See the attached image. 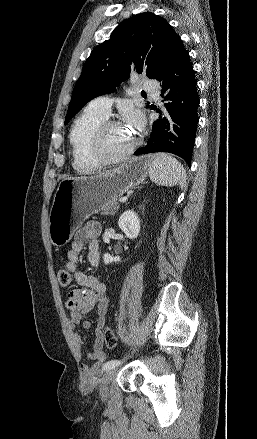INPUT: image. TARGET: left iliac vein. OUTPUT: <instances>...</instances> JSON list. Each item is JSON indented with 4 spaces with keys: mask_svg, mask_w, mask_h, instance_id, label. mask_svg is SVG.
Instances as JSON below:
<instances>
[{
    "mask_svg": "<svg viewBox=\"0 0 257 439\" xmlns=\"http://www.w3.org/2000/svg\"><path fill=\"white\" fill-rule=\"evenodd\" d=\"M115 374H116V370L115 368H112L107 370L102 376L101 384H100V396L102 399H105L107 397L109 391V385L113 380V378L115 377Z\"/></svg>",
    "mask_w": 257,
    "mask_h": 439,
    "instance_id": "4c4485c4",
    "label": "left iliac vein"
}]
</instances>
